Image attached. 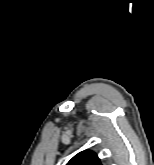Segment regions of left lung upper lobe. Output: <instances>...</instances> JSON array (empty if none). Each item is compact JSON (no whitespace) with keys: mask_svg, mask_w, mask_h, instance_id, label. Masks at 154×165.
I'll use <instances>...</instances> for the list:
<instances>
[{"mask_svg":"<svg viewBox=\"0 0 154 165\" xmlns=\"http://www.w3.org/2000/svg\"><path fill=\"white\" fill-rule=\"evenodd\" d=\"M67 165H101V163L94 152L86 150L75 155Z\"/></svg>","mask_w":154,"mask_h":165,"instance_id":"1","label":"left lung upper lobe"}]
</instances>
